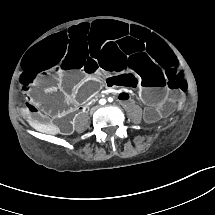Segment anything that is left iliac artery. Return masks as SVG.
I'll return each instance as SVG.
<instances>
[{
	"instance_id": "1",
	"label": "left iliac artery",
	"mask_w": 215,
	"mask_h": 215,
	"mask_svg": "<svg viewBox=\"0 0 215 215\" xmlns=\"http://www.w3.org/2000/svg\"><path fill=\"white\" fill-rule=\"evenodd\" d=\"M108 100H109V102H112V101H113V99H112V98H109Z\"/></svg>"
}]
</instances>
